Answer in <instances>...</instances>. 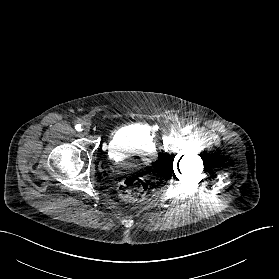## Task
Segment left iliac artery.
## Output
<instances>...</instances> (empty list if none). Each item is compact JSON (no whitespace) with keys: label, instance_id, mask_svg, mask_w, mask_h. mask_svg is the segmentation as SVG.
<instances>
[{"label":"left iliac artery","instance_id":"obj_1","mask_svg":"<svg viewBox=\"0 0 279 279\" xmlns=\"http://www.w3.org/2000/svg\"><path fill=\"white\" fill-rule=\"evenodd\" d=\"M191 128H192L191 126L185 127V128L183 129L184 133H185V134H188V133L190 132V129H191Z\"/></svg>","mask_w":279,"mask_h":279}]
</instances>
